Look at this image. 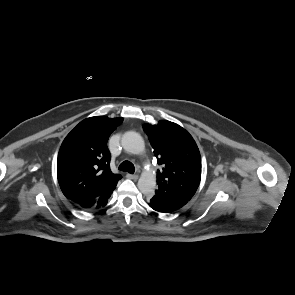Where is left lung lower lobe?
<instances>
[{
  "label": "left lung lower lobe",
  "instance_id": "obj_1",
  "mask_svg": "<svg viewBox=\"0 0 295 295\" xmlns=\"http://www.w3.org/2000/svg\"><path fill=\"white\" fill-rule=\"evenodd\" d=\"M188 200L167 194L162 191H155L154 195L149 196V206L161 213H171L182 208Z\"/></svg>",
  "mask_w": 295,
  "mask_h": 295
}]
</instances>
